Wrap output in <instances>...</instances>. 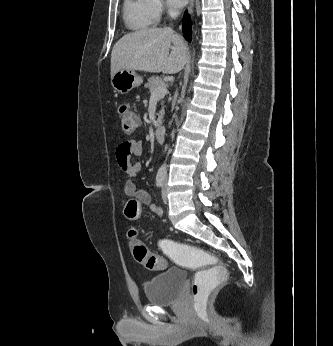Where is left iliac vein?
<instances>
[{
	"instance_id": "left-iliac-vein-1",
	"label": "left iliac vein",
	"mask_w": 333,
	"mask_h": 346,
	"mask_svg": "<svg viewBox=\"0 0 333 346\" xmlns=\"http://www.w3.org/2000/svg\"><path fill=\"white\" fill-rule=\"evenodd\" d=\"M167 180H168V176L167 174L165 175V180H164V184L162 187V200L164 203L168 202V197H167Z\"/></svg>"
}]
</instances>
